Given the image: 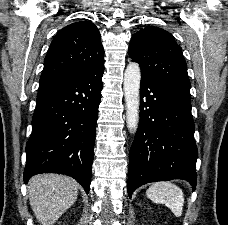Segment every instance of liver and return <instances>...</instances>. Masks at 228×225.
<instances>
[{"label": "liver", "instance_id": "liver-1", "mask_svg": "<svg viewBox=\"0 0 228 225\" xmlns=\"http://www.w3.org/2000/svg\"><path fill=\"white\" fill-rule=\"evenodd\" d=\"M79 185L65 175H36L28 183L32 211L40 225H54L74 205Z\"/></svg>", "mask_w": 228, "mask_h": 225}]
</instances>
